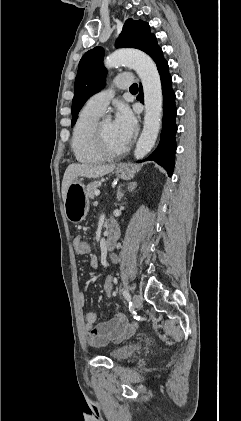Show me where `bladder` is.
<instances>
[{
	"label": "bladder",
	"mask_w": 241,
	"mask_h": 421,
	"mask_svg": "<svg viewBox=\"0 0 241 421\" xmlns=\"http://www.w3.org/2000/svg\"><path fill=\"white\" fill-rule=\"evenodd\" d=\"M139 349V345L136 343H131L124 345L116 350H114L110 356L117 361L125 360L131 357Z\"/></svg>",
	"instance_id": "bladder-1"
}]
</instances>
